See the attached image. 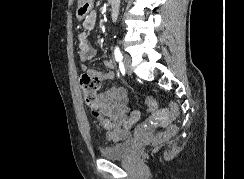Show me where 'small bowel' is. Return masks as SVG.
Returning a JSON list of instances; mask_svg holds the SVG:
<instances>
[{
	"label": "small bowel",
	"instance_id": "c3829d8e",
	"mask_svg": "<svg viewBox=\"0 0 244 179\" xmlns=\"http://www.w3.org/2000/svg\"><path fill=\"white\" fill-rule=\"evenodd\" d=\"M90 9V18H80L82 20V25L84 31L78 35V55L82 64L80 69L91 75H95L100 80H110L113 78L112 69L114 67V62L112 59H106L104 61V66L106 71H101L95 68H89L85 62L92 60L96 57V50L90 42L87 31L94 28L96 24L97 15L95 10ZM117 7V6H113ZM118 9V7H117ZM125 88H109L98 95L96 100L97 109L112 119L113 125L112 129L107 133V137L111 141H119L124 139L130 130L131 126H127L128 116L126 115V98H125ZM133 116H137L134 114Z\"/></svg>",
	"mask_w": 244,
	"mask_h": 179
}]
</instances>
